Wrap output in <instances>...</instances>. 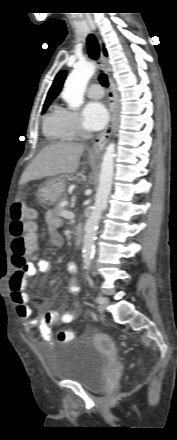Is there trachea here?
Returning <instances> with one entry per match:
<instances>
[{"label":"trachea","mask_w":177,"mask_h":440,"mask_svg":"<svg viewBox=\"0 0 177 440\" xmlns=\"http://www.w3.org/2000/svg\"><path fill=\"white\" fill-rule=\"evenodd\" d=\"M87 52L92 59L98 60L100 47L96 37L93 34H90L87 37ZM99 81L104 87H108V79L106 74L101 73L99 76Z\"/></svg>","instance_id":"obj_1"}]
</instances>
